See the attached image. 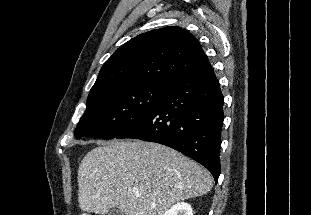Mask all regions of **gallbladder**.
<instances>
[{
	"label": "gallbladder",
	"mask_w": 311,
	"mask_h": 215,
	"mask_svg": "<svg viewBox=\"0 0 311 215\" xmlns=\"http://www.w3.org/2000/svg\"><path fill=\"white\" fill-rule=\"evenodd\" d=\"M108 215H125L119 208H113Z\"/></svg>",
	"instance_id": "1"
}]
</instances>
